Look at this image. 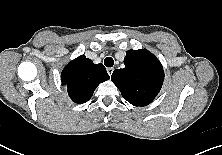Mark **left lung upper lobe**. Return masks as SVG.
<instances>
[{
    "label": "left lung upper lobe",
    "instance_id": "obj_1",
    "mask_svg": "<svg viewBox=\"0 0 222 155\" xmlns=\"http://www.w3.org/2000/svg\"><path fill=\"white\" fill-rule=\"evenodd\" d=\"M125 68L114 70L111 80L122 96L134 106L150 104L159 93L164 70L151 52L146 49L128 50L124 59Z\"/></svg>",
    "mask_w": 222,
    "mask_h": 155
}]
</instances>
